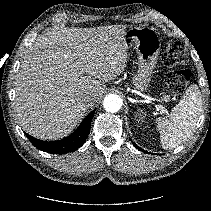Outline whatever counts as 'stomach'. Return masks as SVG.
<instances>
[{
    "label": "stomach",
    "mask_w": 211,
    "mask_h": 211,
    "mask_svg": "<svg viewBox=\"0 0 211 211\" xmlns=\"http://www.w3.org/2000/svg\"><path fill=\"white\" fill-rule=\"evenodd\" d=\"M123 42L128 49L136 50L138 58V70L131 84L139 91H146L160 52L159 36L152 28L130 27L124 34Z\"/></svg>",
    "instance_id": "1"
}]
</instances>
